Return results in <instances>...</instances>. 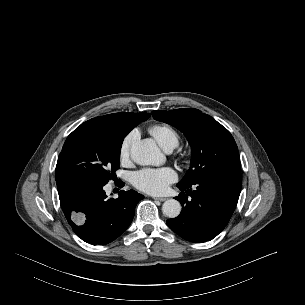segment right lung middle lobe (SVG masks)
I'll use <instances>...</instances> for the list:
<instances>
[{
	"instance_id": "1",
	"label": "right lung middle lobe",
	"mask_w": 305,
	"mask_h": 305,
	"mask_svg": "<svg viewBox=\"0 0 305 305\" xmlns=\"http://www.w3.org/2000/svg\"><path fill=\"white\" fill-rule=\"evenodd\" d=\"M130 130L86 121L66 139L55 179H76L105 185L120 168V150Z\"/></svg>"
}]
</instances>
